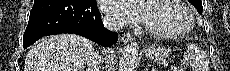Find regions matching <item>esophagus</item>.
<instances>
[{
    "label": "esophagus",
    "instance_id": "esophagus-1",
    "mask_svg": "<svg viewBox=\"0 0 230 71\" xmlns=\"http://www.w3.org/2000/svg\"><path fill=\"white\" fill-rule=\"evenodd\" d=\"M132 40H133V37L129 33H124L121 35V41H123L124 43L132 42Z\"/></svg>",
    "mask_w": 230,
    "mask_h": 71
}]
</instances>
